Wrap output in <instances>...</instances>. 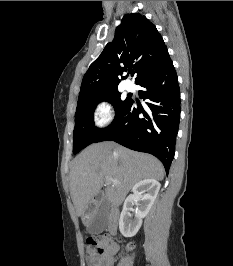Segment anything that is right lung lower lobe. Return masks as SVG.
<instances>
[{"label":"right lung lower lobe","mask_w":233,"mask_h":266,"mask_svg":"<svg viewBox=\"0 0 233 266\" xmlns=\"http://www.w3.org/2000/svg\"><path fill=\"white\" fill-rule=\"evenodd\" d=\"M136 84L144 88L139 96L148 100L146 107L137 106L131 99L95 142L115 141L132 150L150 153L160 159L168 174L175 153L181 103L177 74L170 57Z\"/></svg>","instance_id":"1"}]
</instances>
